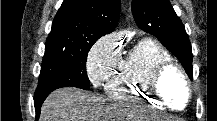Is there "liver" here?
<instances>
[{
  "instance_id": "1",
  "label": "liver",
  "mask_w": 217,
  "mask_h": 121,
  "mask_svg": "<svg viewBox=\"0 0 217 121\" xmlns=\"http://www.w3.org/2000/svg\"><path fill=\"white\" fill-rule=\"evenodd\" d=\"M139 116L141 113L136 109L65 87L47 97L39 121H134Z\"/></svg>"
}]
</instances>
